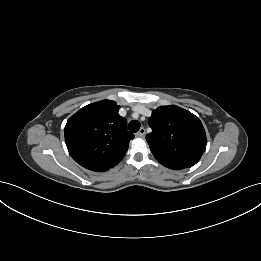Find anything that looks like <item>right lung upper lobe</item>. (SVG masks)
I'll list each match as a JSON object with an SVG mask.
<instances>
[{
    "mask_svg": "<svg viewBox=\"0 0 261 261\" xmlns=\"http://www.w3.org/2000/svg\"><path fill=\"white\" fill-rule=\"evenodd\" d=\"M115 101L102 100L81 108L65 126V142L72 158L89 170L107 169L125 156L134 135L118 114Z\"/></svg>",
    "mask_w": 261,
    "mask_h": 261,
    "instance_id": "obj_1",
    "label": "right lung upper lobe"
}]
</instances>
